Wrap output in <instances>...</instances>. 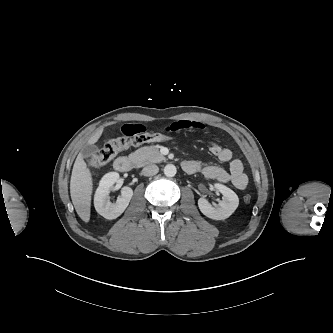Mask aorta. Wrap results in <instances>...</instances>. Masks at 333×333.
Masks as SVG:
<instances>
[{
  "instance_id": "1",
  "label": "aorta",
  "mask_w": 333,
  "mask_h": 333,
  "mask_svg": "<svg viewBox=\"0 0 333 333\" xmlns=\"http://www.w3.org/2000/svg\"><path fill=\"white\" fill-rule=\"evenodd\" d=\"M177 173V169H176V166L173 165V164H167L165 167H164V174L167 176V177H174Z\"/></svg>"
}]
</instances>
